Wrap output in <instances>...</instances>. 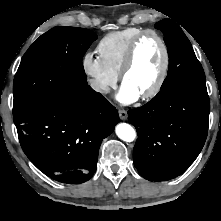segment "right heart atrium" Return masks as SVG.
I'll return each mask as SVG.
<instances>
[{
	"label": "right heart atrium",
	"mask_w": 221,
	"mask_h": 221,
	"mask_svg": "<svg viewBox=\"0 0 221 221\" xmlns=\"http://www.w3.org/2000/svg\"><path fill=\"white\" fill-rule=\"evenodd\" d=\"M82 68L89 78L90 86L98 94H106L117 82L118 76L108 69L99 56L91 52L83 56Z\"/></svg>",
	"instance_id": "1"
}]
</instances>
